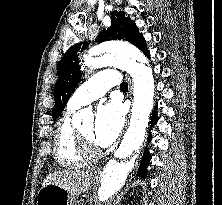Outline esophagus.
<instances>
[{"label":"esophagus","mask_w":222,"mask_h":205,"mask_svg":"<svg viewBox=\"0 0 222 205\" xmlns=\"http://www.w3.org/2000/svg\"><path fill=\"white\" fill-rule=\"evenodd\" d=\"M128 81H129V85H130V88H129V94L131 95V93H132L131 80H130V79H128Z\"/></svg>","instance_id":"obj_1"}]
</instances>
